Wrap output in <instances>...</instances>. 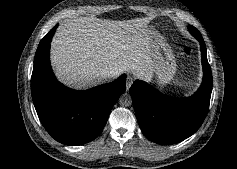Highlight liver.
<instances>
[{
  "label": "liver",
  "instance_id": "6515ba94",
  "mask_svg": "<svg viewBox=\"0 0 237 169\" xmlns=\"http://www.w3.org/2000/svg\"><path fill=\"white\" fill-rule=\"evenodd\" d=\"M157 36L144 24L126 28L117 21L72 19L57 34L56 66L63 80L79 88L101 83L100 72L105 69L148 76L154 70Z\"/></svg>",
  "mask_w": 237,
  "mask_h": 169
}]
</instances>
